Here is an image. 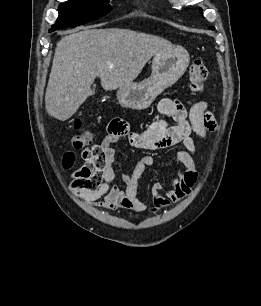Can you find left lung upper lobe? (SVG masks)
<instances>
[{
	"label": "left lung upper lobe",
	"instance_id": "1",
	"mask_svg": "<svg viewBox=\"0 0 261 306\" xmlns=\"http://www.w3.org/2000/svg\"><path fill=\"white\" fill-rule=\"evenodd\" d=\"M200 11H201V13H202L203 10L200 8ZM209 29H213V28L210 27Z\"/></svg>",
	"mask_w": 261,
	"mask_h": 306
}]
</instances>
